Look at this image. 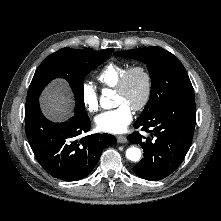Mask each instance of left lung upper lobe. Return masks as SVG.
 Segmentation results:
<instances>
[{
    "label": "left lung upper lobe",
    "mask_w": 221,
    "mask_h": 221,
    "mask_svg": "<svg viewBox=\"0 0 221 221\" xmlns=\"http://www.w3.org/2000/svg\"><path fill=\"white\" fill-rule=\"evenodd\" d=\"M147 64L151 77V94L138 119H144L155 109L181 100H194V90L182 63L160 47H146L115 52Z\"/></svg>",
    "instance_id": "1"
}]
</instances>
